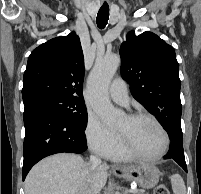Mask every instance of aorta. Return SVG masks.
Here are the masks:
<instances>
[{"instance_id":"762f6f07","label":"aorta","mask_w":201,"mask_h":194,"mask_svg":"<svg viewBox=\"0 0 201 194\" xmlns=\"http://www.w3.org/2000/svg\"><path fill=\"white\" fill-rule=\"evenodd\" d=\"M120 65L117 54L97 59L88 77V100L104 124L110 128L119 125L124 116L123 111L115 109L108 96L109 84Z\"/></svg>"}]
</instances>
